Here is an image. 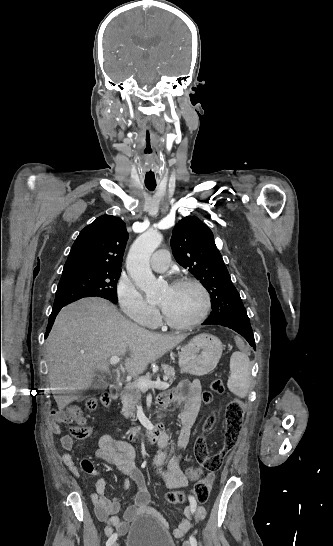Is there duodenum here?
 Masks as SVG:
<instances>
[{
    "instance_id": "410a0bca",
    "label": "duodenum",
    "mask_w": 333,
    "mask_h": 546,
    "mask_svg": "<svg viewBox=\"0 0 333 546\" xmlns=\"http://www.w3.org/2000/svg\"><path fill=\"white\" fill-rule=\"evenodd\" d=\"M109 395L111 399L115 400L119 397V388L116 385H110ZM164 433V427L162 423H156L150 427L144 428H133L129 432L130 440L132 441H147L155 442L157 441Z\"/></svg>"
}]
</instances>
